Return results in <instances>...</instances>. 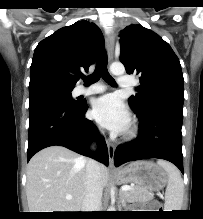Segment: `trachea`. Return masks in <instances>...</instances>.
<instances>
[{"instance_id": "1", "label": "trachea", "mask_w": 203, "mask_h": 219, "mask_svg": "<svg viewBox=\"0 0 203 219\" xmlns=\"http://www.w3.org/2000/svg\"><path fill=\"white\" fill-rule=\"evenodd\" d=\"M101 77L108 84H110L112 86L116 85L115 80L109 74V72L107 70V56H106L105 52L101 53V55L97 61L96 68H95L94 72L90 76H88L87 78H84V82L86 85H89L90 83L97 82Z\"/></svg>"}]
</instances>
